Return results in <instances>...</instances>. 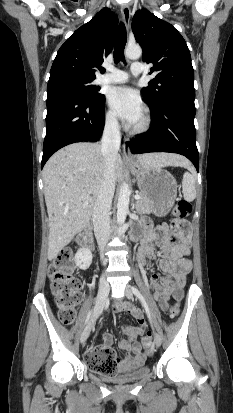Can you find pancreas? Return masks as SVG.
<instances>
[{
	"mask_svg": "<svg viewBox=\"0 0 233 413\" xmlns=\"http://www.w3.org/2000/svg\"><path fill=\"white\" fill-rule=\"evenodd\" d=\"M140 199L136 201V212L140 215L150 214L154 212V206L151 204L148 197L140 193Z\"/></svg>",
	"mask_w": 233,
	"mask_h": 413,
	"instance_id": "1",
	"label": "pancreas"
}]
</instances>
